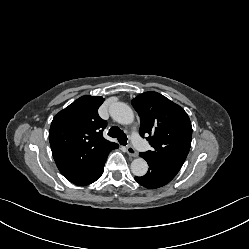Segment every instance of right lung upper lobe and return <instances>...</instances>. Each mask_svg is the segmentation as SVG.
Instances as JSON below:
<instances>
[{
  "instance_id": "1",
  "label": "right lung upper lobe",
  "mask_w": 249,
  "mask_h": 249,
  "mask_svg": "<svg viewBox=\"0 0 249 249\" xmlns=\"http://www.w3.org/2000/svg\"><path fill=\"white\" fill-rule=\"evenodd\" d=\"M102 97L82 96L53 118L49 141L62 175L76 185H87L104 157L118 147L102 132L107 122L98 115Z\"/></svg>"
}]
</instances>
